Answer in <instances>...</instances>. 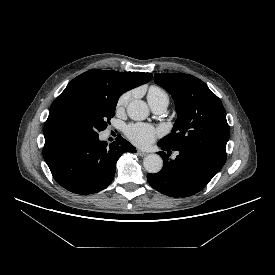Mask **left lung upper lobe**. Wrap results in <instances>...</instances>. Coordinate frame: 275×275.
Masks as SVG:
<instances>
[{"label":"left lung upper lobe","instance_id":"5c2ea615","mask_svg":"<svg viewBox=\"0 0 275 275\" xmlns=\"http://www.w3.org/2000/svg\"><path fill=\"white\" fill-rule=\"evenodd\" d=\"M154 81L171 94L178 113L172 133L160 142L226 159L229 126L220 99L202 80L189 74H155Z\"/></svg>","mask_w":275,"mask_h":275}]
</instances>
